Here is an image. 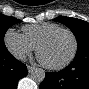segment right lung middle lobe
<instances>
[{"mask_svg": "<svg viewBox=\"0 0 89 89\" xmlns=\"http://www.w3.org/2000/svg\"><path fill=\"white\" fill-rule=\"evenodd\" d=\"M20 20L9 17V16H4L0 14V49L5 48V45L3 43L4 35L6 31L14 24L19 23Z\"/></svg>", "mask_w": 89, "mask_h": 89, "instance_id": "dd1d6c3e", "label": "right lung middle lobe"}]
</instances>
